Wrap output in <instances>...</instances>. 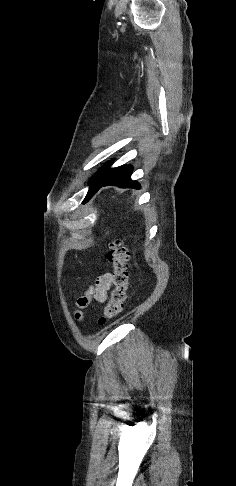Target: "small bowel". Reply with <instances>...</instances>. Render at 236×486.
Here are the masks:
<instances>
[{"label": "small bowel", "instance_id": "1", "mask_svg": "<svg viewBox=\"0 0 236 486\" xmlns=\"http://www.w3.org/2000/svg\"><path fill=\"white\" fill-rule=\"evenodd\" d=\"M112 285V276L110 273H105L99 276L95 283L89 288L85 296L78 299V307L80 311L76 313L77 319L83 318L82 309H85L91 300L98 303H104L108 298V293Z\"/></svg>", "mask_w": 236, "mask_h": 486}]
</instances>
